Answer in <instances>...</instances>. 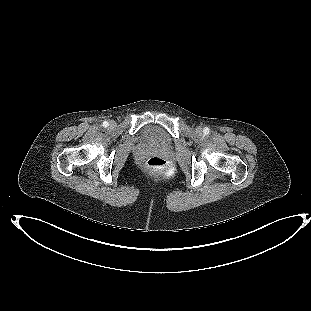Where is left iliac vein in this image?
I'll use <instances>...</instances> for the list:
<instances>
[{
	"label": "left iliac vein",
	"mask_w": 311,
	"mask_h": 311,
	"mask_svg": "<svg viewBox=\"0 0 311 311\" xmlns=\"http://www.w3.org/2000/svg\"><path fill=\"white\" fill-rule=\"evenodd\" d=\"M196 132H197L198 134H202L203 130H202L201 127H197Z\"/></svg>",
	"instance_id": "1"
}]
</instances>
